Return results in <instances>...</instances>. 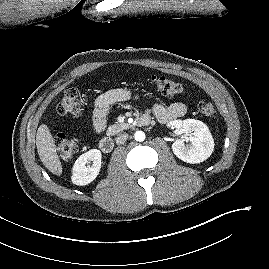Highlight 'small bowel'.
Instances as JSON below:
<instances>
[{
  "instance_id": "1",
  "label": "small bowel",
  "mask_w": 269,
  "mask_h": 269,
  "mask_svg": "<svg viewBox=\"0 0 269 269\" xmlns=\"http://www.w3.org/2000/svg\"><path fill=\"white\" fill-rule=\"evenodd\" d=\"M133 97L134 95L131 92L124 89L110 90L98 96L95 100L93 112V126L95 131L101 133L104 130L107 116L114 104L129 100ZM186 111L187 107L182 102H174L169 106L155 103L141 118H149L151 120L152 114L159 122L166 123L183 117Z\"/></svg>"
}]
</instances>
